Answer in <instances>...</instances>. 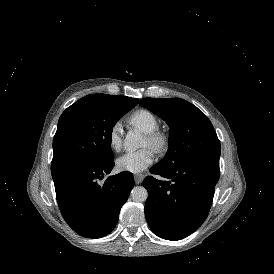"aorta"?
I'll return each mask as SVG.
<instances>
[{
  "label": "aorta",
  "mask_w": 274,
  "mask_h": 274,
  "mask_svg": "<svg viewBox=\"0 0 274 274\" xmlns=\"http://www.w3.org/2000/svg\"><path fill=\"white\" fill-rule=\"evenodd\" d=\"M125 145L130 149L138 148L142 145V136L138 131H129L125 137ZM131 197L135 202H144L148 198V192L143 186H136L131 191Z\"/></svg>",
  "instance_id": "obj_1"
}]
</instances>
